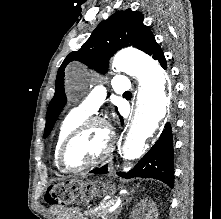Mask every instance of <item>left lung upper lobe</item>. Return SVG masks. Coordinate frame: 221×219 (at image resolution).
I'll use <instances>...</instances> for the list:
<instances>
[{
  "label": "left lung upper lobe",
  "mask_w": 221,
  "mask_h": 219,
  "mask_svg": "<svg viewBox=\"0 0 221 219\" xmlns=\"http://www.w3.org/2000/svg\"><path fill=\"white\" fill-rule=\"evenodd\" d=\"M143 19L142 13L131 9L117 11L97 26L80 50L68 54L57 73L55 95L46 114L44 138L50 134L67 101L64 70L68 63L79 61L91 69L104 72L107 71L109 58L123 47L133 46L149 55L153 54L159 45L149 27L143 24Z\"/></svg>",
  "instance_id": "obj_1"
}]
</instances>
